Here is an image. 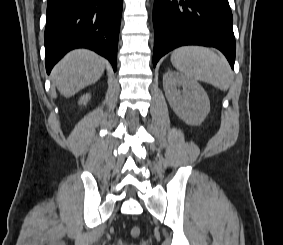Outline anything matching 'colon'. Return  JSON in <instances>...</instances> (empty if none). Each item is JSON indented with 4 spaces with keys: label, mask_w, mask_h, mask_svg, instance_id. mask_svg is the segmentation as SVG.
Listing matches in <instances>:
<instances>
[{
    "label": "colon",
    "mask_w": 283,
    "mask_h": 245,
    "mask_svg": "<svg viewBox=\"0 0 283 245\" xmlns=\"http://www.w3.org/2000/svg\"><path fill=\"white\" fill-rule=\"evenodd\" d=\"M140 233H141V229L139 226H134L130 231V234L133 238L139 237Z\"/></svg>",
    "instance_id": "obj_1"
}]
</instances>
